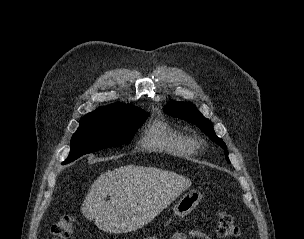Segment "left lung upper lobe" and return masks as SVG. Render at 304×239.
Wrapping results in <instances>:
<instances>
[{
  "label": "left lung upper lobe",
  "instance_id": "1",
  "mask_svg": "<svg viewBox=\"0 0 304 239\" xmlns=\"http://www.w3.org/2000/svg\"><path fill=\"white\" fill-rule=\"evenodd\" d=\"M164 112L197 125L212 141L216 142L223 149H227L222 139L216 136L211 121L206 119L194 104L190 102H169L165 106ZM225 155L229 161L227 151H225Z\"/></svg>",
  "mask_w": 304,
  "mask_h": 239
}]
</instances>
